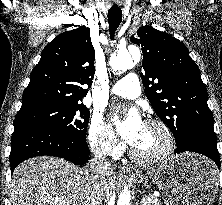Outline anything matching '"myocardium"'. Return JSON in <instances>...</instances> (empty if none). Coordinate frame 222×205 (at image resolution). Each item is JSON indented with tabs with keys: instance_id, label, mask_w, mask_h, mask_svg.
Returning a JSON list of instances; mask_svg holds the SVG:
<instances>
[{
	"instance_id": "f54148a6",
	"label": "myocardium",
	"mask_w": 222,
	"mask_h": 205,
	"mask_svg": "<svg viewBox=\"0 0 222 205\" xmlns=\"http://www.w3.org/2000/svg\"><path fill=\"white\" fill-rule=\"evenodd\" d=\"M146 123L158 127L163 132L165 136V146L159 153L152 156H142L131 147L129 150L130 157L140 164L150 165L160 163L167 159L172 153L175 143L174 135L169 126L159 119L150 118L146 120Z\"/></svg>"
}]
</instances>
